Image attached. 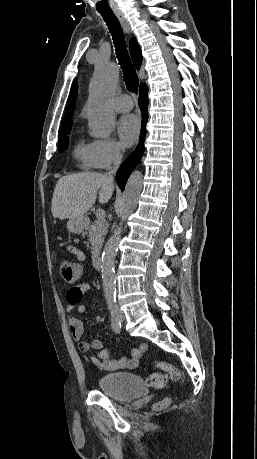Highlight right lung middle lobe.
Here are the masks:
<instances>
[{"label": "right lung middle lobe", "instance_id": "1", "mask_svg": "<svg viewBox=\"0 0 257 459\" xmlns=\"http://www.w3.org/2000/svg\"><path fill=\"white\" fill-rule=\"evenodd\" d=\"M70 133V129L62 130L59 132V139H58V149L59 151H63L68 145V137L67 134Z\"/></svg>", "mask_w": 257, "mask_h": 459}]
</instances>
